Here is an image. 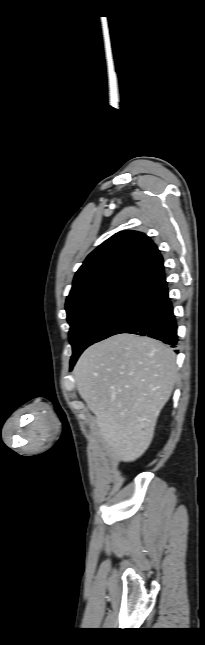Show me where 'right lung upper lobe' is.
Masks as SVG:
<instances>
[{
  "label": "right lung upper lobe",
  "mask_w": 205,
  "mask_h": 645,
  "mask_svg": "<svg viewBox=\"0 0 205 645\" xmlns=\"http://www.w3.org/2000/svg\"><path fill=\"white\" fill-rule=\"evenodd\" d=\"M164 277L163 258L153 241L137 231H121L83 262L66 306L122 286L148 289Z\"/></svg>",
  "instance_id": "obj_1"
}]
</instances>
